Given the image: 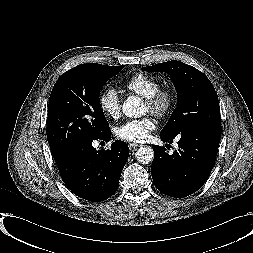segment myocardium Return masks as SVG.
Masks as SVG:
<instances>
[{
	"label": "myocardium",
	"instance_id": "myocardium-1",
	"mask_svg": "<svg viewBox=\"0 0 253 253\" xmlns=\"http://www.w3.org/2000/svg\"><path fill=\"white\" fill-rule=\"evenodd\" d=\"M144 100L149 112L157 118L167 116L175 104L174 93L169 89H159Z\"/></svg>",
	"mask_w": 253,
	"mask_h": 253
}]
</instances>
